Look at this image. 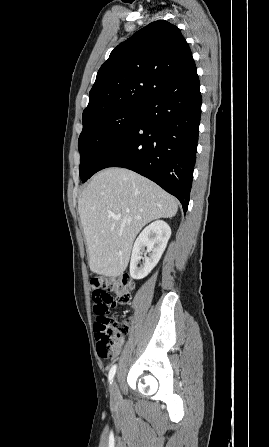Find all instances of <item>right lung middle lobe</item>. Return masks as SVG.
Masks as SVG:
<instances>
[{
    "instance_id": "dd1d6c3e",
    "label": "right lung middle lobe",
    "mask_w": 269,
    "mask_h": 447,
    "mask_svg": "<svg viewBox=\"0 0 269 447\" xmlns=\"http://www.w3.org/2000/svg\"><path fill=\"white\" fill-rule=\"evenodd\" d=\"M144 108L143 103L124 106L83 123L78 141L82 180L91 177L89 173L98 159L139 122Z\"/></svg>"
}]
</instances>
